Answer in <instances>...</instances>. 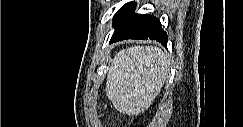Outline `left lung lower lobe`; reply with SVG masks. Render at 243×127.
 <instances>
[{
    "label": "left lung lower lobe",
    "instance_id": "1",
    "mask_svg": "<svg viewBox=\"0 0 243 127\" xmlns=\"http://www.w3.org/2000/svg\"><path fill=\"white\" fill-rule=\"evenodd\" d=\"M136 3L129 2L122 6L113 18L115 31L110 44L125 39H151L167 46V33L162 29L158 18L153 15L135 14Z\"/></svg>",
    "mask_w": 243,
    "mask_h": 127
}]
</instances>
